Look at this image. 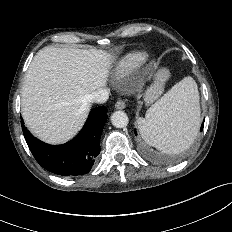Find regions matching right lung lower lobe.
I'll use <instances>...</instances> for the list:
<instances>
[{
  "instance_id": "1",
  "label": "right lung lower lobe",
  "mask_w": 232,
  "mask_h": 232,
  "mask_svg": "<svg viewBox=\"0 0 232 232\" xmlns=\"http://www.w3.org/2000/svg\"><path fill=\"white\" fill-rule=\"evenodd\" d=\"M107 117L104 106L94 108L80 133L70 142L56 146L38 140L24 127L23 120L21 124L26 142L43 168L62 176H77L88 173L99 155Z\"/></svg>"
}]
</instances>
